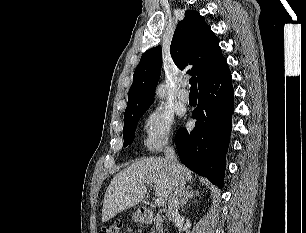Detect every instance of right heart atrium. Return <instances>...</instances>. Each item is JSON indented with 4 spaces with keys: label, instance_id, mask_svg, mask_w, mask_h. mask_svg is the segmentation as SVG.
<instances>
[{
    "label": "right heart atrium",
    "instance_id": "d8ad5b80",
    "mask_svg": "<svg viewBox=\"0 0 306 233\" xmlns=\"http://www.w3.org/2000/svg\"><path fill=\"white\" fill-rule=\"evenodd\" d=\"M174 117L168 110L157 107L151 110L144 119L143 143L150 152H157L166 147L172 140Z\"/></svg>",
    "mask_w": 306,
    "mask_h": 233
}]
</instances>
